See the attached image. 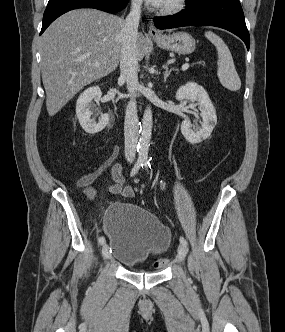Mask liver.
Returning a JSON list of instances; mask_svg holds the SVG:
<instances>
[{
  "instance_id": "liver-1",
  "label": "liver",
  "mask_w": 285,
  "mask_h": 332,
  "mask_svg": "<svg viewBox=\"0 0 285 332\" xmlns=\"http://www.w3.org/2000/svg\"><path fill=\"white\" fill-rule=\"evenodd\" d=\"M125 20L96 9L72 10L56 19L41 38V73L49 116L58 113L86 85L118 66ZM142 60L147 40L137 34ZM95 64H99L98 67Z\"/></svg>"
}]
</instances>
